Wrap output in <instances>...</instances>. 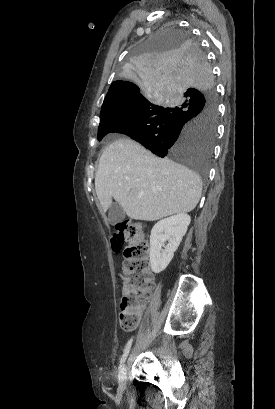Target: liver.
I'll list each match as a JSON object with an SVG mask.
<instances>
[{"label": "liver", "instance_id": "obj_1", "mask_svg": "<svg viewBox=\"0 0 275 409\" xmlns=\"http://www.w3.org/2000/svg\"><path fill=\"white\" fill-rule=\"evenodd\" d=\"M103 213L115 198L130 219L158 221L190 213L202 192V180L184 164L158 158L131 138H117L104 148L95 174Z\"/></svg>", "mask_w": 275, "mask_h": 409}]
</instances>
